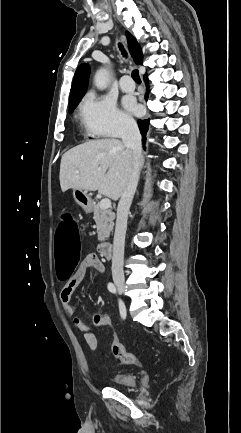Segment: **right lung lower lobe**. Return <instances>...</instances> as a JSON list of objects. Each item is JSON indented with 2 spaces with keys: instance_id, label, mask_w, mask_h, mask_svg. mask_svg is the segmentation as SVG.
Masks as SVG:
<instances>
[{
  "instance_id": "right-lung-lower-lobe-1",
  "label": "right lung lower lobe",
  "mask_w": 241,
  "mask_h": 433,
  "mask_svg": "<svg viewBox=\"0 0 241 433\" xmlns=\"http://www.w3.org/2000/svg\"><path fill=\"white\" fill-rule=\"evenodd\" d=\"M144 81H145V84L147 86V92L145 94V98L147 99L148 95H149V86H148L147 75L144 76ZM138 126H139L140 132L142 134V142H143V144H145L146 133L148 131V126H149V119L148 120H138Z\"/></svg>"
}]
</instances>
